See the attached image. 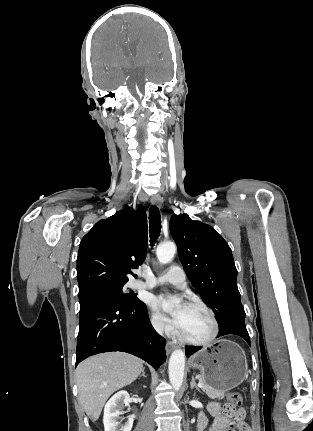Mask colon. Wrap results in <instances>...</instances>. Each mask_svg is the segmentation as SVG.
Returning a JSON list of instances; mask_svg holds the SVG:
<instances>
[{
    "label": "colon",
    "instance_id": "colon-1",
    "mask_svg": "<svg viewBox=\"0 0 313 431\" xmlns=\"http://www.w3.org/2000/svg\"><path fill=\"white\" fill-rule=\"evenodd\" d=\"M242 404V396L239 392H230L227 395V403L224 406L225 414H231L233 410Z\"/></svg>",
    "mask_w": 313,
    "mask_h": 431
}]
</instances>
